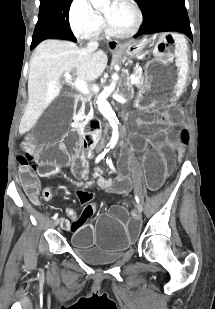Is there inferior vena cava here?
I'll return each instance as SVG.
<instances>
[{"instance_id": "obj_1", "label": "inferior vena cava", "mask_w": 215, "mask_h": 309, "mask_svg": "<svg viewBox=\"0 0 215 309\" xmlns=\"http://www.w3.org/2000/svg\"><path fill=\"white\" fill-rule=\"evenodd\" d=\"M86 48H87L88 52H94V50H96V48H98L97 40H90V42H87Z\"/></svg>"}]
</instances>
